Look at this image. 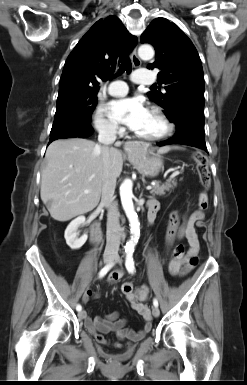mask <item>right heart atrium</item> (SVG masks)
<instances>
[{
	"label": "right heart atrium",
	"mask_w": 247,
	"mask_h": 385,
	"mask_svg": "<svg viewBox=\"0 0 247 385\" xmlns=\"http://www.w3.org/2000/svg\"><path fill=\"white\" fill-rule=\"evenodd\" d=\"M94 125L98 132L105 135H116L121 132L119 126L107 117L102 107H99L94 114Z\"/></svg>",
	"instance_id": "right-heart-atrium-1"
}]
</instances>
